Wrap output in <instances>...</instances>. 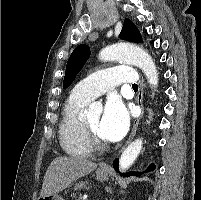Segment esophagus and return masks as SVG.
I'll return each instance as SVG.
<instances>
[{"instance_id": "obj_1", "label": "esophagus", "mask_w": 201, "mask_h": 200, "mask_svg": "<svg viewBox=\"0 0 201 200\" xmlns=\"http://www.w3.org/2000/svg\"><path fill=\"white\" fill-rule=\"evenodd\" d=\"M143 95H144V82H143V79L140 78L139 80V90H138V94H137V104L140 106L141 108V113L138 117H136L134 119V122H133V126H132V130H131V133L127 139V141L125 142L124 146L122 147V149L119 151V153L132 141L133 137L135 136L136 134V131H137V127H138V124L140 122V120L142 119L143 115H144V106H143ZM118 153V154H119ZM101 169H108L109 166L107 163H102L100 165Z\"/></svg>"}]
</instances>
